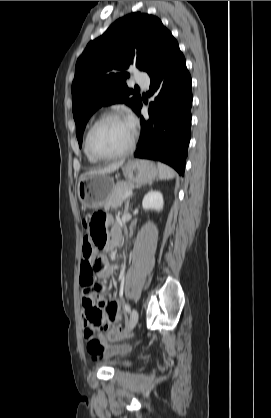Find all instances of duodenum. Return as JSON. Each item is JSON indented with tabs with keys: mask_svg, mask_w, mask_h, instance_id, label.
Returning a JSON list of instances; mask_svg holds the SVG:
<instances>
[{
	"mask_svg": "<svg viewBox=\"0 0 271 418\" xmlns=\"http://www.w3.org/2000/svg\"><path fill=\"white\" fill-rule=\"evenodd\" d=\"M120 240V233L118 230L113 232V242H118Z\"/></svg>",
	"mask_w": 271,
	"mask_h": 418,
	"instance_id": "duodenum-1",
	"label": "duodenum"
}]
</instances>
